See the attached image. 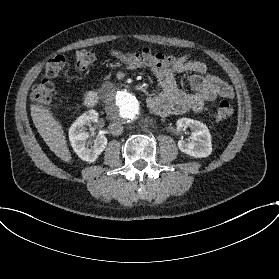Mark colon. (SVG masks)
<instances>
[{"label":"colon","instance_id":"obj_1","mask_svg":"<svg viewBox=\"0 0 279 279\" xmlns=\"http://www.w3.org/2000/svg\"><path fill=\"white\" fill-rule=\"evenodd\" d=\"M136 55V54H135ZM95 60L93 52L81 48L75 53V66L84 70L88 68ZM65 66V59L61 56L51 58L44 66V81L37 85L32 92V100L38 105H48L55 93V86L51 79L59 76ZM232 114V106L228 101H220L215 107L214 118L218 121L228 119Z\"/></svg>","mask_w":279,"mask_h":279}]
</instances>
